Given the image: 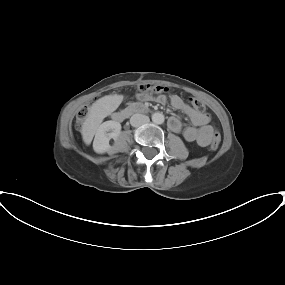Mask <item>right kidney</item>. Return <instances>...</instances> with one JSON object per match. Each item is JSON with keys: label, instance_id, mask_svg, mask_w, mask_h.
Returning <instances> with one entry per match:
<instances>
[{"label": "right kidney", "instance_id": "obj_1", "mask_svg": "<svg viewBox=\"0 0 285 285\" xmlns=\"http://www.w3.org/2000/svg\"><path fill=\"white\" fill-rule=\"evenodd\" d=\"M121 133V124L116 121H106L102 123L95 134L93 149L98 154L111 152L110 139L116 140Z\"/></svg>", "mask_w": 285, "mask_h": 285}]
</instances>
